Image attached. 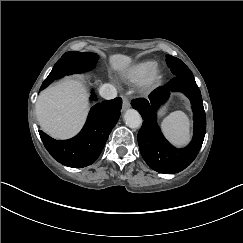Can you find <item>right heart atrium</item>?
<instances>
[{
	"instance_id": "1",
	"label": "right heart atrium",
	"mask_w": 243,
	"mask_h": 243,
	"mask_svg": "<svg viewBox=\"0 0 243 243\" xmlns=\"http://www.w3.org/2000/svg\"><path fill=\"white\" fill-rule=\"evenodd\" d=\"M109 79L113 82V83H115V84H117V81H116V79L113 77V76H109Z\"/></svg>"
}]
</instances>
